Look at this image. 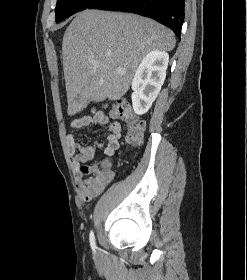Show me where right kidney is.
<instances>
[{
	"label": "right kidney",
	"instance_id": "obj_1",
	"mask_svg": "<svg viewBox=\"0 0 247 280\" xmlns=\"http://www.w3.org/2000/svg\"><path fill=\"white\" fill-rule=\"evenodd\" d=\"M169 55L164 51L148 52L132 81V104L137 115L146 113L155 101L166 77Z\"/></svg>",
	"mask_w": 247,
	"mask_h": 280
}]
</instances>
